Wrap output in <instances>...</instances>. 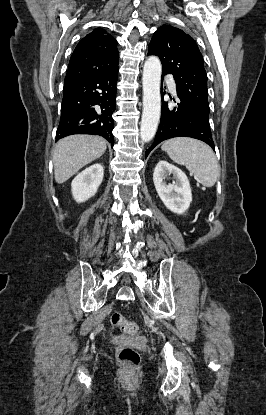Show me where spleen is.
Returning a JSON list of instances; mask_svg holds the SVG:
<instances>
[{
	"instance_id": "1",
	"label": "spleen",
	"mask_w": 266,
	"mask_h": 415,
	"mask_svg": "<svg viewBox=\"0 0 266 415\" xmlns=\"http://www.w3.org/2000/svg\"><path fill=\"white\" fill-rule=\"evenodd\" d=\"M161 149L177 164L194 174L197 182L212 187L219 176V165L212 149L205 143L187 137L166 141Z\"/></svg>"
}]
</instances>
